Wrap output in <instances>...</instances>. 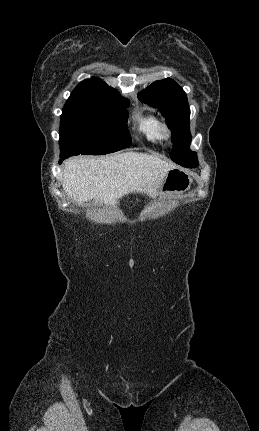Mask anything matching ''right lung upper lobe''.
Masks as SVG:
<instances>
[{
  "label": "right lung upper lobe",
  "mask_w": 259,
  "mask_h": 431,
  "mask_svg": "<svg viewBox=\"0 0 259 431\" xmlns=\"http://www.w3.org/2000/svg\"><path fill=\"white\" fill-rule=\"evenodd\" d=\"M119 94L101 79H87L79 83L70 95L71 99L99 100Z\"/></svg>",
  "instance_id": "1"
}]
</instances>
